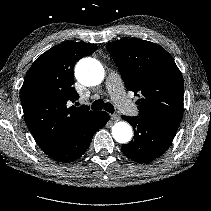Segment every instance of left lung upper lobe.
Segmentation results:
<instances>
[{
	"instance_id": "5c2ea615",
	"label": "left lung upper lobe",
	"mask_w": 211,
	"mask_h": 211,
	"mask_svg": "<svg viewBox=\"0 0 211 211\" xmlns=\"http://www.w3.org/2000/svg\"><path fill=\"white\" fill-rule=\"evenodd\" d=\"M107 49L126 88L140 96L139 117L182 120L183 78L165 49L141 39L109 42Z\"/></svg>"
}]
</instances>
